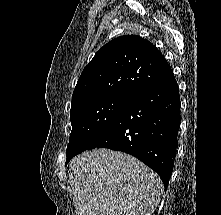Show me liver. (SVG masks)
Here are the masks:
<instances>
[{"mask_svg":"<svg viewBox=\"0 0 221 215\" xmlns=\"http://www.w3.org/2000/svg\"><path fill=\"white\" fill-rule=\"evenodd\" d=\"M68 175L78 215H151L163 192L143 162L106 148L72 159Z\"/></svg>","mask_w":221,"mask_h":215,"instance_id":"1","label":"liver"}]
</instances>
